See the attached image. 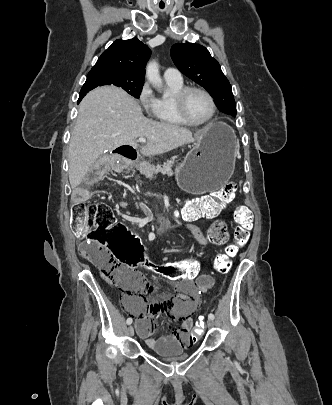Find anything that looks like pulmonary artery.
<instances>
[{"label":"pulmonary artery","mask_w":332,"mask_h":405,"mask_svg":"<svg viewBox=\"0 0 332 405\" xmlns=\"http://www.w3.org/2000/svg\"><path fill=\"white\" fill-rule=\"evenodd\" d=\"M164 79L170 81H182V75L180 71L175 68H167L164 71Z\"/></svg>","instance_id":"obj_1"}]
</instances>
